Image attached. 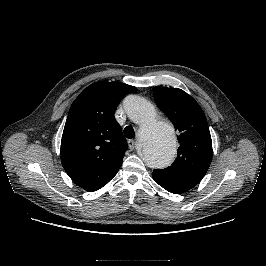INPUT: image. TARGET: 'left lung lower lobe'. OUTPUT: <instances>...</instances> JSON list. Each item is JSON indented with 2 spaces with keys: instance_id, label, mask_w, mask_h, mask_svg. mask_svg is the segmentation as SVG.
Returning a JSON list of instances; mask_svg holds the SVG:
<instances>
[{
  "instance_id": "0a47b994",
  "label": "left lung lower lobe",
  "mask_w": 266,
  "mask_h": 266,
  "mask_svg": "<svg viewBox=\"0 0 266 266\" xmlns=\"http://www.w3.org/2000/svg\"><path fill=\"white\" fill-rule=\"evenodd\" d=\"M153 179L164 189H166L167 191L174 193V194H181L186 192L185 190H182L178 187L172 186L171 184H168L167 182L160 180L159 178L153 176Z\"/></svg>"
}]
</instances>
